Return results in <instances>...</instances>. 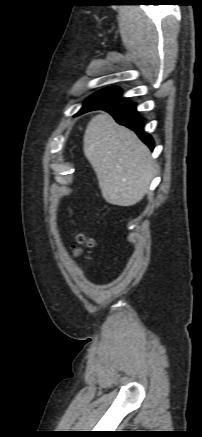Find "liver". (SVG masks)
<instances>
[{
    "label": "liver",
    "instance_id": "1",
    "mask_svg": "<svg viewBox=\"0 0 202 437\" xmlns=\"http://www.w3.org/2000/svg\"><path fill=\"white\" fill-rule=\"evenodd\" d=\"M83 143L105 201L126 207L137 204L154 176L149 148L105 112L88 123Z\"/></svg>",
    "mask_w": 202,
    "mask_h": 437
}]
</instances>
